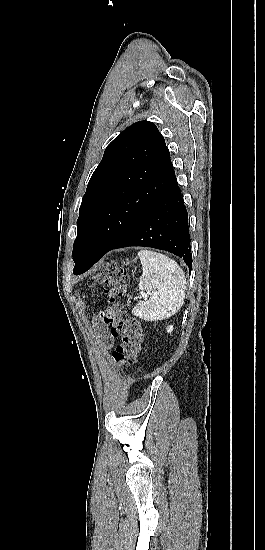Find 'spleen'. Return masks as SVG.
I'll list each match as a JSON object with an SVG mask.
<instances>
[{
    "label": "spleen",
    "instance_id": "1",
    "mask_svg": "<svg viewBox=\"0 0 265 550\" xmlns=\"http://www.w3.org/2000/svg\"><path fill=\"white\" fill-rule=\"evenodd\" d=\"M138 257L143 267L139 289L150 294L132 313L146 321H159L177 313L185 299L186 278L182 268L168 256L141 250Z\"/></svg>",
    "mask_w": 265,
    "mask_h": 550
}]
</instances>
